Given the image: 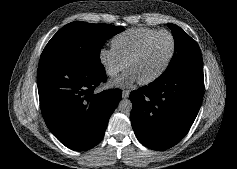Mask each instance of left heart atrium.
Returning <instances> with one entry per match:
<instances>
[{"instance_id":"obj_1","label":"left heart atrium","mask_w":237,"mask_h":169,"mask_svg":"<svg viewBox=\"0 0 237 169\" xmlns=\"http://www.w3.org/2000/svg\"><path fill=\"white\" fill-rule=\"evenodd\" d=\"M137 80L133 72L129 71L115 81L117 85H129Z\"/></svg>"}]
</instances>
